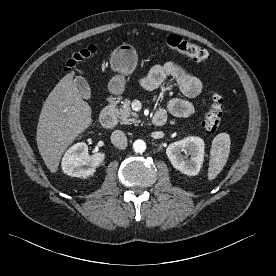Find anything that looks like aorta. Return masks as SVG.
<instances>
[{
    "label": "aorta",
    "mask_w": 276,
    "mask_h": 276,
    "mask_svg": "<svg viewBox=\"0 0 276 276\" xmlns=\"http://www.w3.org/2000/svg\"><path fill=\"white\" fill-rule=\"evenodd\" d=\"M133 149L136 153H143L146 150L145 141L138 139L133 143Z\"/></svg>",
    "instance_id": "762f6f07"
}]
</instances>
